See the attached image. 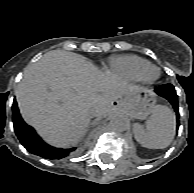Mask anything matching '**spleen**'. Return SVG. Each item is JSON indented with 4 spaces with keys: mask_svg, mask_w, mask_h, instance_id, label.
Listing matches in <instances>:
<instances>
[{
    "mask_svg": "<svg viewBox=\"0 0 194 193\" xmlns=\"http://www.w3.org/2000/svg\"><path fill=\"white\" fill-rule=\"evenodd\" d=\"M176 120L173 112L164 105H156L146 122V129L134 124V136L138 143L149 149H164L174 138Z\"/></svg>",
    "mask_w": 194,
    "mask_h": 193,
    "instance_id": "obj_1",
    "label": "spleen"
}]
</instances>
